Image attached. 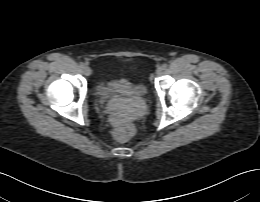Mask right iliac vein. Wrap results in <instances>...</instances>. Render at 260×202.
Here are the masks:
<instances>
[{
  "label": "right iliac vein",
  "instance_id": "obj_1",
  "mask_svg": "<svg viewBox=\"0 0 260 202\" xmlns=\"http://www.w3.org/2000/svg\"><path fill=\"white\" fill-rule=\"evenodd\" d=\"M83 72L86 76H89L91 74V69L88 66H85Z\"/></svg>",
  "mask_w": 260,
  "mask_h": 202
}]
</instances>
